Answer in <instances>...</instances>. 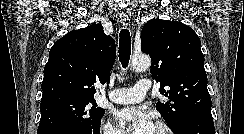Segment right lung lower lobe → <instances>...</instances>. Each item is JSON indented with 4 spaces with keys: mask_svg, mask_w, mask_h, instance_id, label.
I'll return each instance as SVG.
<instances>
[{
    "mask_svg": "<svg viewBox=\"0 0 244 134\" xmlns=\"http://www.w3.org/2000/svg\"><path fill=\"white\" fill-rule=\"evenodd\" d=\"M45 134H100V126L93 129L79 127H57L47 131Z\"/></svg>",
    "mask_w": 244,
    "mask_h": 134,
    "instance_id": "98d812e1",
    "label": "right lung lower lobe"
}]
</instances>
